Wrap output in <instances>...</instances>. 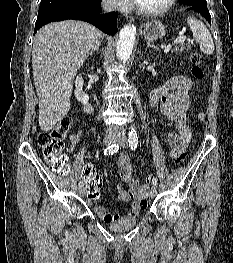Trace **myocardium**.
<instances>
[{
	"label": "myocardium",
	"instance_id": "f54148a6",
	"mask_svg": "<svg viewBox=\"0 0 233 263\" xmlns=\"http://www.w3.org/2000/svg\"><path fill=\"white\" fill-rule=\"evenodd\" d=\"M176 0H168L167 3L159 8V9H155V10H147L144 8H141L140 6L137 5L136 2H134V9L144 15V16H148V17H156V16H160L166 12H168L175 4Z\"/></svg>",
	"mask_w": 233,
	"mask_h": 263
}]
</instances>
